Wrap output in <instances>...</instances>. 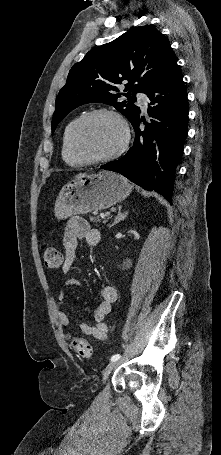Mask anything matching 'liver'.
I'll return each instance as SVG.
<instances>
[{"label": "liver", "mask_w": 221, "mask_h": 455, "mask_svg": "<svg viewBox=\"0 0 221 455\" xmlns=\"http://www.w3.org/2000/svg\"><path fill=\"white\" fill-rule=\"evenodd\" d=\"M86 175H87L86 173H83V174L80 173V174H78V175L76 176V178L81 177V176H86Z\"/></svg>", "instance_id": "6515ba94"}]
</instances>
